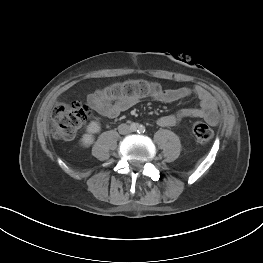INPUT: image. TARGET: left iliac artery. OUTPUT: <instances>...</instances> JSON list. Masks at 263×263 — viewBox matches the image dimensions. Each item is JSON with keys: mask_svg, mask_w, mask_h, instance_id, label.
Masks as SVG:
<instances>
[{"mask_svg": "<svg viewBox=\"0 0 263 263\" xmlns=\"http://www.w3.org/2000/svg\"><path fill=\"white\" fill-rule=\"evenodd\" d=\"M137 131H138V133H144L145 132V127L140 125Z\"/></svg>", "mask_w": 263, "mask_h": 263, "instance_id": "44dca946", "label": "left iliac artery"}]
</instances>
